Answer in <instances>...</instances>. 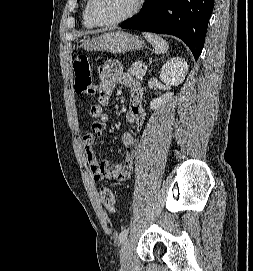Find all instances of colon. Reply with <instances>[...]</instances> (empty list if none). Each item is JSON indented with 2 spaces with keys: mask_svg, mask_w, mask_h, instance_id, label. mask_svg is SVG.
I'll return each instance as SVG.
<instances>
[{
  "mask_svg": "<svg viewBox=\"0 0 253 271\" xmlns=\"http://www.w3.org/2000/svg\"><path fill=\"white\" fill-rule=\"evenodd\" d=\"M74 73V90L80 96H92L96 92L93 84L90 65L85 55L76 57L72 64ZM99 198L102 205L111 213L116 211V200L112 190L106 186L99 188Z\"/></svg>",
  "mask_w": 253,
  "mask_h": 271,
  "instance_id": "colon-1",
  "label": "colon"
}]
</instances>
